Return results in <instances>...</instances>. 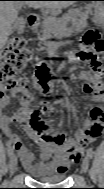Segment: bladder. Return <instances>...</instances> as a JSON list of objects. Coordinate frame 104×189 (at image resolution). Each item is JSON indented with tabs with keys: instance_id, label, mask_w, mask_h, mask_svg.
<instances>
[{
	"instance_id": "31cf9c89",
	"label": "bladder",
	"mask_w": 104,
	"mask_h": 189,
	"mask_svg": "<svg viewBox=\"0 0 104 189\" xmlns=\"http://www.w3.org/2000/svg\"><path fill=\"white\" fill-rule=\"evenodd\" d=\"M34 177L44 183H56L64 180L65 172H62L59 169L54 171H42L41 174L34 175Z\"/></svg>"
}]
</instances>
